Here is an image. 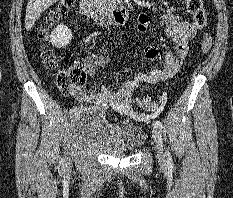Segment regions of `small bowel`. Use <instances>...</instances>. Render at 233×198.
<instances>
[{"label": "small bowel", "mask_w": 233, "mask_h": 198, "mask_svg": "<svg viewBox=\"0 0 233 198\" xmlns=\"http://www.w3.org/2000/svg\"><path fill=\"white\" fill-rule=\"evenodd\" d=\"M165 24V35L173 44L175 52H167L147 44L144 48V56L150 61L162 60L163 65L150 72L135 71L130 67H125L123 76H132L131 79L123 78L116 89L102 86L100 91H88L82 86L76 87L72 92V97L78 102L92 105L104 111L110 105H115L118 109L132 118L144 119V116L137 115L131 110V99L141 83L160 84L172 78L180 69L188 54L189 41L198 30L193 21L180 20L172 10L165 11L161 17ZM152 19L145 13L139 14L136 29L140 34H145ZM84 72L89 77H93L98 68L113 69L111 60L99 54L87 57L81 63Z\"/></svg>", "instance_id": "small-bowel-1"}]
</instances>
